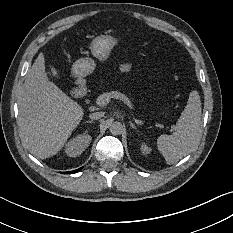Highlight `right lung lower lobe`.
<instances>
[{
  "label": "right lung lower lobe",
  "mask_w": 233,
  "mask_h": 233,
  "mask_svg": "<svg viewBox=\"0 0 233 233\" xmlns=\"http://www.w3.org/2000/svg\"><path fill=\"white\" fill-rule=\"evenodd\" d=\"M80 169H81V168H80ZM80 169H77V170H74V171H71V172H67V173L77 172V171H79Z\"/></svg>",
  "instance_id": "98d812e1"
}]
</instances>
